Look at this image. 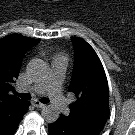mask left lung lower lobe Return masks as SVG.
Segmentation results:
<instances>
[{
  "label": "left lung lower lobe",
  "mask_w": 135,
  "mask_h": 135,
  "mask_svg": "<svg viewBox=\"0 0 135 135\" xmlns=\"http://www.w3.org/2000/svg\"><path fill=\"white\" fill-rule=\"evenodd\" d=\"M49 135H88L83 131L71 127L62 119H58L54 123L49 124Z\"/></svg>",
  "instance_id": "0a47b994"
}]
</instances>
